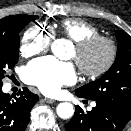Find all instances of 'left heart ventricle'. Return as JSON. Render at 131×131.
<instances>
[{
    "instance_id": "left-heart-ventricle-1",
    "label": "left heart ventricle",
    "mask_w": 131,
    "mask_h": 131,
    "mask_svg": "<svg viewBox=\"0 0 131 131\" xmlns=\"http://www.w3.org/2000/svg\"><path fill=\"white\" fill-rule=\"evenodd\" d=\"M108 51L103 44H97L90 48L82 57V64L89 68L95 69L103 64L107 57ZM73 57H76V51L74 49Z\"/></svg>"
}]
</instances>
